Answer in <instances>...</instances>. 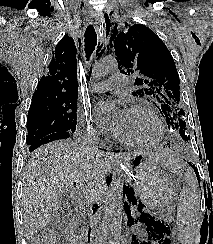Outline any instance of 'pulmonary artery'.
<instances>
[{"mask_svg": "<svg viewBox=\"0 0 213 244\" xmlns=\"http://www.w3.org/2000/svg\"><path fill=\"white\" fill-rule=\"evenodd\" d=\"M127 77L122 73H114L109 80L92 85L93 93H104L126 84Z\"/></svg>", "mask_w": 213, "mask_h": 244, "instance_id": "obj_1", "label": "pulmonary artery"}]
</instances>
